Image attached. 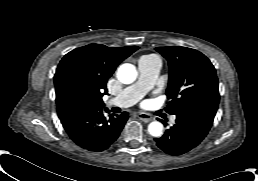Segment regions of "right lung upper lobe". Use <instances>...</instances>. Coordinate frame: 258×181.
<instances>
[{"label":"right lung upper lobe","mask_w":258,"mask_h":181,"mask_svg":"<svg viewBox=\"0 0 258 181\" xmlns=\"http://www.w3.org/2000/svg\"><path fill=\"white\" fill-rule=\"evenodd\" d=\"M138 49L137 46L107 47L90 44L72 50L60 61L55 76L58 114L64 94L74 88L92 99L97 107H103L102 96L107 94L106 83L124 59Z\"/></svg>","instance_id":"cb5924a9"}]
</instances>
